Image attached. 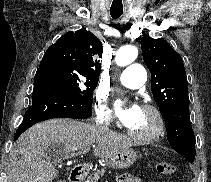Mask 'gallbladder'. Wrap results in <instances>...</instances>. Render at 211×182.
Wrapping results in <instances>:
<instances>
[{
    "mask_svg": "<svg viewBox=\"0 0 211 182\" xmlns=\"http://www.w3.org/2000/svg\"><path fill=\"white\" fill-rule=\"evenodd\" d=\"M47 157L52 160H61L64 157L63 147L60 144H53L46 150Z\"/></svg>",
    "mask_w": 211,
    "mask_h": 182,
    "instance_id": "bac80fb5",
    "label": "gallbladder"
}]
</instances>
